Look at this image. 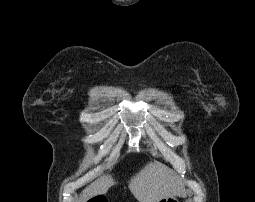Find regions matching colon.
Listing matches in <instances>:
<instances>
[{"label": "colon", "mask_w": 255, "mask_h": 202, "mask_svg": "<svg viewBox=\"0 0 255 202\" xmlns=\"http://www.w3.org/2000/svg\"><path fill=\"white\" fill-rule=\"evenodd\" d=\"M89 202H105V201L98 199V198H93Z\"/></svg>", "instance_id": "5ec220e1"}]
</instances>
